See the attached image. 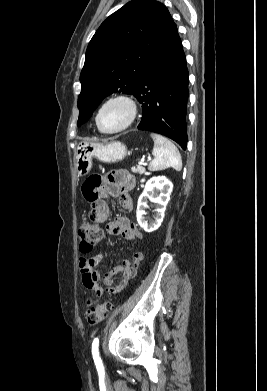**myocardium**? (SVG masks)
<instances>
[{"instance_id":"obj_1","label":"myocardium","mask_w":267,"mask_h":391,"mask_svg":"<svg viewBox=\"0 0 267 391\" xmlns=\"http://www.w3.org/2000/svg\"><path fill=\"white\" fill-rule=\"evenodd\" d=\"M113 102L124 103L128 108L129 115H128L126 122L121 127L117 128L115 130L108 131V130H104L101 127L99 118H100V114H101L102 110L104 109V107H106L108 104L113 103ZM137 114H138V106H137L135 99L129 94L118 93V94H114V95L109 96L100 104V106L97 110L96 116H95V123H96L98 130L101 133L115 134V133H119V132L124 131L125 129L129 128L133 124V122L135 121Z\"/></svg>"}]
</instances>
